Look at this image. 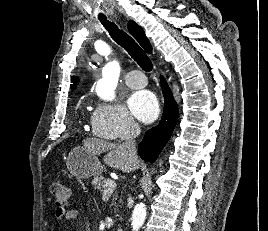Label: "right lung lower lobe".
Here are the masks:
<instances>
[{"label":"right lung lower lobe","instance_id":"obj_1","mask_svg":"<svg viewBox=\"0 0 268 231\" xmlns=\"http://www.w3.org/2000/svg\"><path fill=\"white\" fill-rule=\"evenodd\" d=\"M161 87L164 95V112L160 123L149 129L138 146L141 158L153 163L167 144L178 120V106L171 90L163 77Z\"/></svg>","mask_w":268,"mask_h":231}]
</instances>
